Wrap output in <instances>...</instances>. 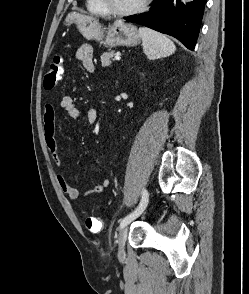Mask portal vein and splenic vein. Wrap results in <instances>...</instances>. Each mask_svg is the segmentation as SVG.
<instances>
[{"label": "portal vein and splenic vein", "instance_id": "obj_1", "mask_svg": "<svg viewBox=\"0 0 249 294\" xmlns=\"http://www.w3.org/2000/svg\"><path fill=\"white\" fill-rule=\"evenodd\" d=\"M114 60H120V56H119V55H116V56L114 57Z\"/></svg>", "mask_w": 249, "mask_h": 294}]
</instances>
